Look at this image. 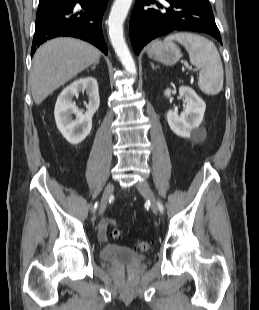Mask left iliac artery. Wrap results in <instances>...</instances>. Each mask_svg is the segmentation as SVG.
Returning a JSON list of instances; mask_svg holds the SVG:
<instances>
[{"instance_id": "1", "label": "left iliac artery", "mask_w": 259, "mask_h": 310, "mask_svg": "<svg viewBox=\"0 0 259 310\" xmlns=\"http://www.w3.org/2000/svg\"><path fill=\"white\" fill-rule=\"evenodd\" d=\"M158 208H159V210H160L161 212H163V206H162V204L159 203V202H158Z\"/></svg>"}]
</instances>
